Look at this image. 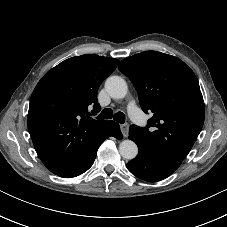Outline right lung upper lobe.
<instances>
[{"instance_id": "cb5924a9", "label": "right lung upper lobe", "mask_w": 227, "mask_h": 227, "mask_svg": "<svg viewBox=\"0 0 227 227\" xmlns=\"http://www.w3.org/2000/svg\"><path fill=\"white\" fill-rule=\"evenodd\" d=\"M118 60L93 54L64 60L35 87L27 124L35 150L54 174L69 168L99 139L112 121L95 120L97 91Z\"/></svg>"}]
</instances>
